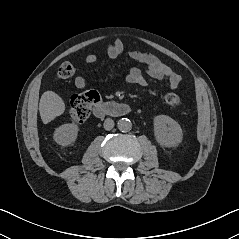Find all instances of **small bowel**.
I'll return each instance as SVG.
<instances>
[{
    "label": "small bowel",
    "mask_w": 239,
    "mask_h": 239,
    "mask_svg": "<svg viewBox=\"0 0 239 239\" xmlns=\"http://www.w3.org/2000/svg\"><path fill=\"white\" fill-rule=\"evenodd\" d=\"M124 46L121 40L117 39L110 45L106 53L110 58H116L122 54ZM128 55L131 59L143 63L146 65L147 74L155 80L166 79L169 82L171 89H177L181 84V77L167 65L162 63L156 56L150 53L141 52L138 50H130ZM86 63L93 64L97 61L95 54H88L85 58ZM126 81L130 84L139 86L146 85V79L142 72L138 68H132L126 75ZM74 85L77 89L83 90L87 86V82L84 77L77 76L74 80Z\"/></svg>",
    "instance_id": "small-bowel-1"
}]
</instances>
